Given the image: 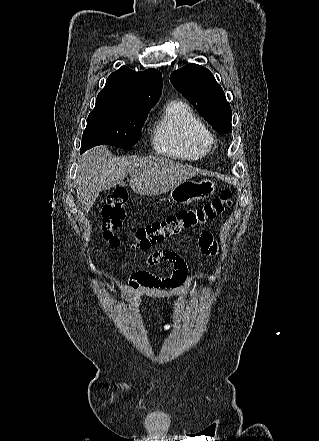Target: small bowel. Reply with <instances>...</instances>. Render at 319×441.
<instances>
[{
	"label": "small bowel",
	"mask_w": 319,
	"mask_h": 441,
	"mask_svg": "<svg viewBox=\"0 0 319 441\" xmlns=\"http://www.w3.org/2000/svg\"><path fill=\"white\" fill-rule=\"evenodd\" d=\"M199 245L204 254H215L217 251L213 237L207 232L201 235ZM161 262L172 263L173 271L170 276H158L151 271H135L117 291L120 299L130 295L132 304L137 309H142L141 300L144 295L154 298H176L174 306L161 312L158 318L166 317L177 311L183 303V297L190 292L188 266L185 259L171 249L156 251L146 258L148 266H154ZM144 310L151 313L149 309Z\"/></svg>",
	"instance_id": "1"
}]
</instances>
